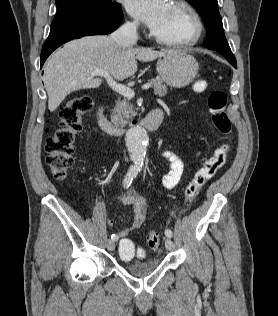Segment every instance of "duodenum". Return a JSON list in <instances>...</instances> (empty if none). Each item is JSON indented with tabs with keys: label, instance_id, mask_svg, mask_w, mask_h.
I'll return each mask as SVG.
<instances>
[{
	"label": "duodenum",
	"instance_id": "1",
	"mask_svg": "<svg viewBox=\"0 0 278 316\" xmlns=\"http://www.w3.org/2000/svg\"><path fill=\"white\" fill-rule=\"evenodd\" d=\"M164 113L162 109L156 108L148 113L144 120L135 122L132 126H141L146 130L153 132L159 128L163 121ZM97 122L99 127L106 133L120 135L125 132V129L114 125L107 117L104 106H100L97 111Z\"/></svg>",
	"mask_w": 278,
	"mask_h": 316
}]
</instances>
